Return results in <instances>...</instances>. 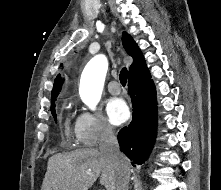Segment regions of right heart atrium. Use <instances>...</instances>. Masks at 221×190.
Instances as JSON below:
<instances>
[{"label": "right heart atrium", "instance_id": "d8ad5b80", "mask_svg": "<svg viewBox=\"0 0 221 190\" xmlns=\"http://www.w3.org/2000/svg\"><path fill=\"white\" fill-rule=\"evenodd\" d=\"M75 134L86 147H94L113 137V130L98 112L82 110L75 121Z\"/></svg>", "mask_w": 221, "mask_h": 190}]
</instances>
